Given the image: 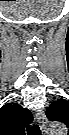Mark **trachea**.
Masks as SVG:
<instances>
[{
    "label": "trachea",
    "instance_id": "trachea-1",
    "mask_svg": "<svg viewBox=\"0 0 69 135\" xmlns=\"http://www.w3.org/2000/svg\"><path fill=\"white\" fill-rule=\"evenodd\" d=\"M28 135H41V130L38 125L29 126L27 128Z\"/></svg>",
    "mask_w": 69,
    "mask_h": 135
}]
</instances>
